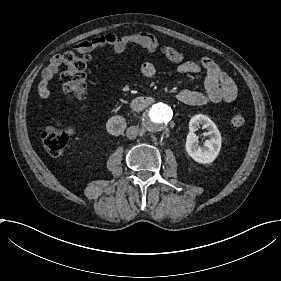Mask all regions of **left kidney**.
<instances>
[{
    "mask_svg": "<svg viewBox=\"0 0 281 281\" xmlns=\"http://www.w3.org/2000/svg\"><path fill=\"white\" fill-rule=\"evenodd\" d=\"M202 125L208 131L210 138L199 146L198 137L194 133L187 136L185 151L195 162L200 164H211L217 157L221 148V135L213 121L205 115H196L190 120V130L196 131Z\"/></svg>",
    "mask_w": 281,
    "mask_h": 281,
    "instance_id": "obj_1",
    "label": "left kidney"
}]
</instances>
